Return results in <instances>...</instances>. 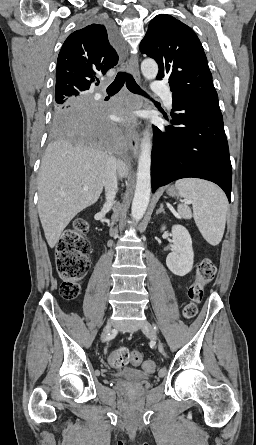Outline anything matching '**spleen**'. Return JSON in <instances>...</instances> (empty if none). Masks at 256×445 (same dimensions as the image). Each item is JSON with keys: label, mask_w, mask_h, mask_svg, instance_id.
<instances>
[{"label": "spleen", "mask_w": 256, "mask_h": 445, "mask_svg": "<svg viewBox=\"0 0 256 445\" xmlns=\"http://www.w3.org/2000/svg\"><path fill=\"white\" fill-rule=\"evenodd\" d=\"M175 187L180 196L193 206L192 213L188 205L179 204L180 216L184 219L193 217L204 239L213 246L218 245L224 234L228 209L223 191L211 182L195 178L178 180Z\"/></svg>", "instance_id": "obj_1"}]
</instances>
